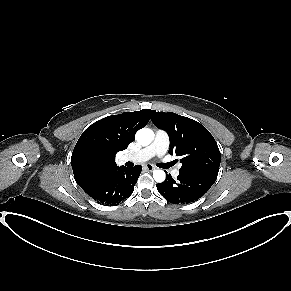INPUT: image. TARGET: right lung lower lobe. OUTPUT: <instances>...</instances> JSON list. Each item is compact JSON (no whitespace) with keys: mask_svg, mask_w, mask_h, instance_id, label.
<instances>
[{"mask_svg":"<svg viewBox=\"0 0 291 291\" xmlns=\"http://www.w3.org/2000/svg\"><path fill=\"white\" fill-rule=\"evenodd\" d=\"M141 170L140 165L132 168L122 166L83 190L100 204L117 205L133 193Z\"/></svg>","mask_w":291,"mask_h":291,"instance_id":"98d812e1","label":"right lung lower lobe"}]
</instances>
